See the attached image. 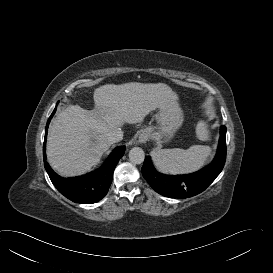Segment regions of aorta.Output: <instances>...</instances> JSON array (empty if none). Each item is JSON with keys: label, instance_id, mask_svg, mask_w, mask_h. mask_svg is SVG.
<instances>
[{"label": "aorta", "instance_id": "aorta-1", "mask_svg": "<svg viewBox=\"0 0 273 273\" xmlns=\"http://www.w3.org/2000/svg\"><path fill=\"white\" fill-rule=\"evenodd\" d=\"M145 159V153L142 148L134 147L129 151V160L133 164H141Z\"/></svg>", "mask_w": 273, "mask_h": 273}]
</instances>
